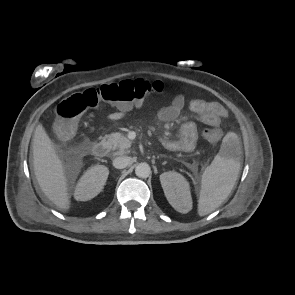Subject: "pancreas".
<instances>
[{"label":"pancreas","mask_w":295,"mask_h":295,"mask_svg":"<svg viewBox=\"0 0 295 295\" xmlns=\"http://www.w3.org/2000/svg\"><path fill=\"white\" fill-rule=\"evenodd\" d=\"M105 139H107L109 145H111L114 150L118 149L121 154L126 153V149L132 144L126 136L119 132H113L110 135H107Z\"/></svg>","instance_id":"cf45deb5"}]
</instances>
